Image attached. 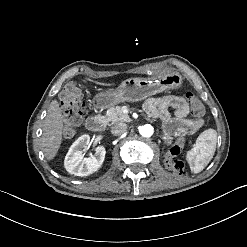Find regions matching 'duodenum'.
<instances>
[{"instance_id": "duodenum-1", "label": "duodenum", "mask_w": 247, "mask_h": 247, "mask_svg": "<svg viewBox=\"0 0 247 247\" xmlns=\"http://www.w3.org/2000/svg\"><path fill=\"white\" fill-rule=\"evenodd\" d=\"M86 127L95 132H103L106 129V121L103 116L95 115L86 121Z\"/></svg>"}]
</instances>
